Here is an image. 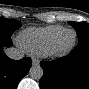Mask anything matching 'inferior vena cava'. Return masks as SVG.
<instances>
[{
	"label": "inferior vena cava",
	"instance_id": "obj_1",
	"mask_svg": "<svg viewBox=\"0 0 89 89\" xmlns=\"http://www.w3.org/2000/svg\"><path fill=\"white\" fill-rule=\"evenodd\" d=\"M6 55L14 60H19L24 57V52L20 49L11 47L5 50Z\"/></svg>",
	"mask_w": 89,
	"mask_h": 89
}]
</instances>
